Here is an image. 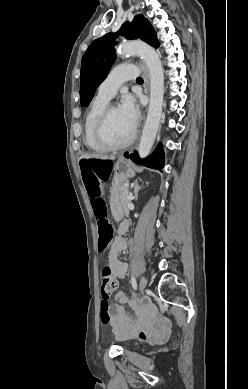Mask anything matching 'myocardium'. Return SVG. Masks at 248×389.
<instances>
[{"mask_svg": "<svg viewBox=\"0 0 248 389\" xmlns=\"http://www.w3.org/2000/svg\"><path fill=\"white\" fill-rule=\"evenodd\" d=\"M114 103H108L102 110L94 130V137L97 143L105 150L115 151L128 147L136 138L137 130L134 127L131 135L123 142H112L107 136V125L111 111L116 108Z\"/></svg>", "mask_w": 248, "mask_h": 389, "instance_id": "1", "label": "myocardium"}]
</instances>
